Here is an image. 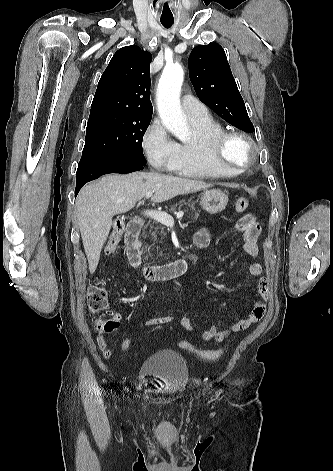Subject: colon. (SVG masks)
Returning <instances> with one entry per match:
<instances>
[{"mask_svg": "<svg viewBox=\"0 0 333 471\" xmlns=\"http://www.w3.org/2000/svg\"><path fill=\"white\" fill-rule=\"evenodd\" d=\"M247 207H248V200L245 197H240L239 199H237L234 205L235 211L239 213L245 211ZM123 232H124V223L121 220H117L113 225L112 233L109 237V240L105 248V251L107 254H111L115 252ZM87 300H88L89 309L93 314H101L106 311L107 306H108L107 293L105 289L102 288L100 285L96 284L89 289L88 294H87ZM97 325L100 329H103L105 331H110L117 325V321L114 319L107 320V321L98 319ZM132 345H133L132 339L126 338L122 341L121 347L123 351L127 352L131 349ZM177 346L182 350H186L188 352H192L196 354L197 356H199L200 358L204 360H217L224 353L223 348L216 349V350L199 349L186 340L179 341L177 343Z\"/></svg>", "mask_w": 333, "mask_h": 471, "instance_id": "colon-1", "label": "colon"}]
</instances>
